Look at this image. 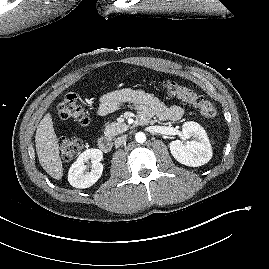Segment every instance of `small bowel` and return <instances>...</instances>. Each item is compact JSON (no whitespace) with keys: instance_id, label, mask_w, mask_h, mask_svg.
Returning <instances> with one entry per match:
<instances>
[{"instance_id":"c3829d8e","label":"small bowel","mask_w":269,"mask_h":269,"mask_svg":"<svg viewBox=\"0 0 269 269\" xmlns=\"http://www.w3.org/2000/svg\"><path fill=\"white\" fill-rule=\"evenodd\" d=\"M124 103L134 104L139 113V120L146 124L153 117L160 120H178L184 109L179 105L166 106L158 98L141 90L120 89L103 95L99 102L98 114L105 116L115 111Z\"/></svg>"}]
</instances>
